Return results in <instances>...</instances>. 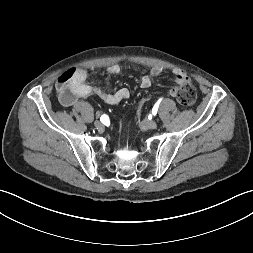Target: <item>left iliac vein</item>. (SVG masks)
I'll return each mask as SVG.
<instances>
[{
	"label": "left iliac vein",
	"mask_w": 253,
	"mask_h": 253,
	"mask_svg": "<svg viewBox=\"0 0 253 253\" xmlns=\"http://www.w3.org/2000/svg\"><path fill=\"white\" fill-rule=\"evenodd\" d=\"M140 125L144 129H155L157 127V122L154 120H143Z\"/></svg>",
	"instance_id": "4c4485c4"
}]
</instances>
